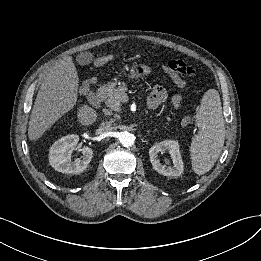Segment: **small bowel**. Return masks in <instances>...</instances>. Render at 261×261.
I'll list each match as a JSON object with an SVG mask.
<instances>
[{"instance_id": "1", "label": "small bowel", "mask_w": 261, "mask_h": 261, "mask_svg": "<svg viewBox=\"0 0 261 261\" xmlns=\"http://www.w3.org/2000/svg\"><path fill=\"white\" fill-rule=\"evenodd\" d=\"M101 64V60L98 59L93 62V65ZM174 82L180 87L183 88L186 85L185 81H180L175 78H173ZM167 99V92L166 90L161 86H154L151 94L148 98L147 105L149 109H156L160 104H162ZM171 103L175 108H180L182 104V95L181 94H175L171 98ZM190 121L189 117H185L183 119L184 124H188Z\"/></svg>"}]
</instances>
